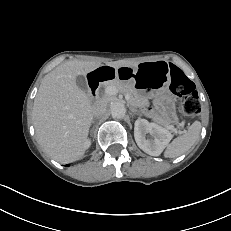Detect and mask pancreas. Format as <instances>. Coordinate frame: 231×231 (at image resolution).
<instances>
[{
	"label": "pancreas",
	"instance_id": "obj_1",
	"mask_svg": "<svg viewBox=\"0 0 231 231\" xmlns=\"http://www.w3.org/2000/svg\"><path fill=\"white\" fill-rule=\"evenodd\" d=\"M108 86H115L118 89V91L124 94H128L130 96L129 103L131 105L135 107H139L143 105L144 103L143 99L137 93V91L134 89L133 85L130 82H125V81L115 79L105 85V87H108ZM154 120L161 124H164V122L158 117H155Z\"/></svg>",
	"mask_w": 231,
	"mask_h": 231
}]
</instances>
